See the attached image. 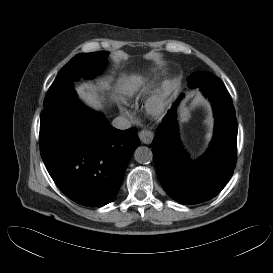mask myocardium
Listing matches in <instances>:
<instances>
[{
	"instance_id": "myocardium-1",
	"label": "myocardium",
	"mask_w": 273,
	"mask_h": 273,
	"mask_svg": "<svg viewBox=\"0 0 273 273\" xmlns=\"http://www.w3.org/2000/svg\"><path fill=\"white\" fill-rule=\"evenodd\" d=\"M165 99L166 88L164 87L149 99L148 105L150 107V110L153 112H159Z\"/></svg>"
}]
</instances>
